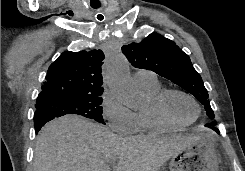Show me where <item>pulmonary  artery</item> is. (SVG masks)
<instances>
[{
	"label": "pulmonary artery",
	"instance_id": "pulmonary-artery-1",
	"mask_svg": "<svg viewBox=\"0 0 245 171\" xmlns=\"http://www.w3.org/2000/svg\"><path fill=\"white\" fill-rule=\"evenodd\" d=\"M134 81L138 86L148 85L155 83L157 77L152 71L140 69L134 73Z\"/></svg>",
	"mask_w": 245,
	"mask_h": 171
}]
</instances>
